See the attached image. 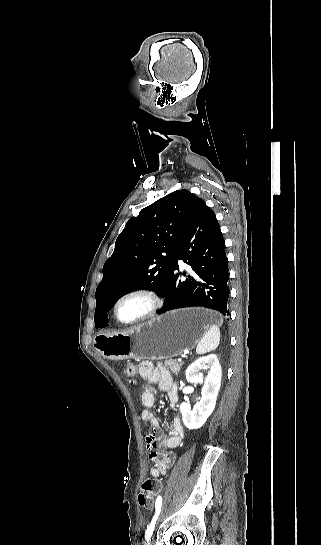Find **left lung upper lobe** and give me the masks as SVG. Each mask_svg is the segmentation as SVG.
<instances>
[{
	"label": "left lung upper lobe",
	"mask_w": 321,
	"mask_h": 545,
	"mask_svg": "<svg viewBox=\"0 0 321 545\" xmlns=\"http://www.w3.org/2000/svg\"><path fill=\"white\" fill-rule=\"evenodd\" d=\"M188 190H177L132 217L118 236L96 289L95 326L108 325L107 312L137 289L161 290L167 283L180 239L199 203Z\"/></svg>",
	"instance_id": "1"
}]
</instances>
